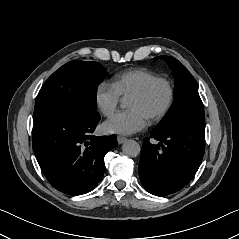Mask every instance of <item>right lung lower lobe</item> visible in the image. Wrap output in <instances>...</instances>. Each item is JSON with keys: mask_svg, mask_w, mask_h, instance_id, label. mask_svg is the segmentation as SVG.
I'll use <instances>...</instances> for the list:
<instances>
[{"mask_svg": "<svg viewBox=\"0 0 239 239\" xmlns=\"http://www.w3.org/2000/svg\"><path fill=\"white\" fill-rule=\"evenodd\" d=\"M100 116L63 110L33 129V150L49 183L69 195L92 191L101 180L105 154L116 147L115 135L93 136Z\"/></svg>", "mask_w": 239, "mask_h": 239, "instance_id": "98d812e1", "label": "right lung lower lobe"}]
</instances>
